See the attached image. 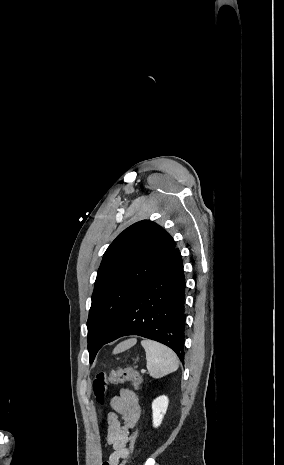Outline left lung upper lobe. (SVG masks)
Returning <instances> with one entry per match:
<instances>
[{"label":"left lung upper lobe","instance_id":"obj_1","mask_svg":"<svg viewBox=\"0 0 284 465\" xmlns=\"http://www.w3.org/2000/svg\"><path fill=\"white\" fill-rule=\"evenodd\" d=\"M171 235L143 220L123 232L104 253L97 272L87 321L90 363L134 295L175 249Z\"/></svg>","mask_w":284,"mask_h":465}]
</instances>
